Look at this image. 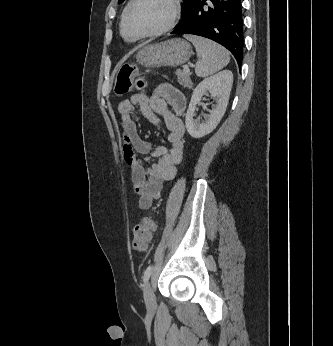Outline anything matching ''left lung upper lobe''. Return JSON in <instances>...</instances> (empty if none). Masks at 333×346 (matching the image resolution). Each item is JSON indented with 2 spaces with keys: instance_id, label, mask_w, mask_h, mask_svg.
Masks as SVG:
<instances>
[{
  "instance_id": "5c2ea615",
  "label": "left lung upper lobe",
  "mask_w": 333,
  "mask_h": 346,
  "mask_svg": "<svg viewBox=\"0 0 333 346\" xmlns=\"http://www.w3.org/2000/svg\"><path fill=\"white\" fill-rule=\"evenodd\" d=\"M124 0H119L118 3H122ZM191 0H183V7L181 9L182 16L184 14L185 9L187 8L188 4Z\"/></svg>"
}]
</instances>
